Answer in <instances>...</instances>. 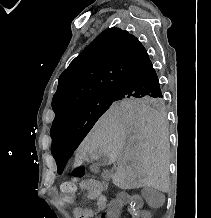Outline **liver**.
<instances>
[{
	"mask_svg": "<svg viewBox=\"0 0 211 218\" xmlns=\"http://www.w3.org/2000/svg\"><path fill=\"white\" fill-rule=\"evenodd\" d=\"M164 118L156 110L112 104L83 140L76 166L83 158L107 156L119 162L112 180L121 190L169 188L168 136Z\"/></svg>",
	"mask_w": 211,
	"mask_h": 218,
	"instance_id": "liver-1",
	"label": "liver"
}]
</instances>
